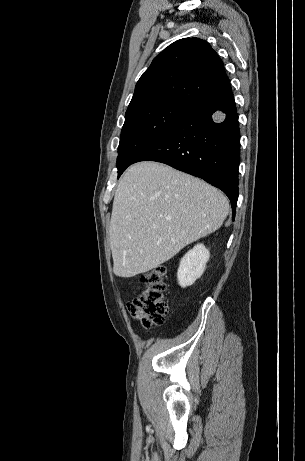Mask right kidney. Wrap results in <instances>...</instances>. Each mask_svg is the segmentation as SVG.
Returning a JSON list of instances; mask_svg holds the SVG:
<instances>
[{"label":"right kidney","instance_id":"ca27d5eb","mask_svg":"<svg viewBox=\"0 0 305 461\" xmlns=\"http://www.w3.org/2000/svg\"><path fill=\"white\" fill-rule=\"evenodd\" d=\"M209 257L210 253L203 244H197L184 255L177 272L178 283L182 288L191 286L202 276Z\"/></svg>","mask_w":305,"mask_h":461}]
</instances>
